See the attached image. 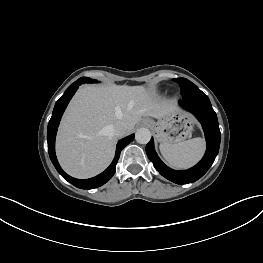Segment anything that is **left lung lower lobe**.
Wrapping results in <instances>:
<instances>
[{
  "label": "left lung lower lobe",
  "instance_id": "obj_1",
  "mask_svg": "<svg viewBox=\"0 0 263 263\" xmlns=\"http://www.w3.org/2000/svg\"><path fill=\"white\" fill-rule=\"evenodd\" d=\"M179 104L194 114L202 124L207 142V149L202 160L188 170H173L167 167L156 154L153 138L146 146V153L162 176L177 184H188L201 178L213 164L219 151L220 130L216 113L209 98L203 92L183 96L182 100H179Z\"/></svg>",
  "mask_w": 263,
  "mask_h": 263
}]
</instances>
